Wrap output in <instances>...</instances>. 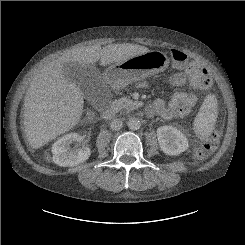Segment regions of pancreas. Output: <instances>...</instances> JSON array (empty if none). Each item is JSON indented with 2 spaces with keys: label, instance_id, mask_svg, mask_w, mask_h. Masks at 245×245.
Instances as JSON below:
<instances>
[{
  "label": "pancreas",
  "instance_id": "1",
  "mask_svg": "<svg viewBox=\"0 0 245 245\" xmlns=\"http://www.w3.org/2000/svg\"><path fill=\"white\" fill-rule=\"evenodd\" d=\"M139 107V102L132 101L127 97H122L115 101L114 108L116 110L125 109L127 112L135 110Z\"/></svg>",
  "mask_w": 245,
  "mask_h": 245
}]
</instances>
